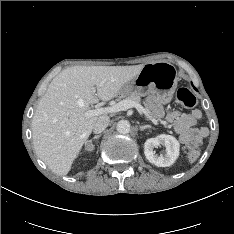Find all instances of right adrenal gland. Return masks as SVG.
Segmentation results:
<instances>
[{"label":"right adrenal gland","instance_id":"2a0ac1e0","mask_svg":"<svg viewBox=\"0 0 234 234\" xmlns=\"http://www.w3.org/2000/svg\"><path fill=\"white\" fill-rule=\"evenodd\" d=\"M101 137V134H98V135H96V136H94L91 140H88V141H86L85 142V145L86 144H92V142L94 141V140H96V139H99Z\"/></svg>","mask_w":234,"mask_h":234}]
</instances>
